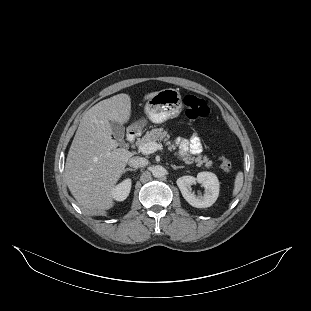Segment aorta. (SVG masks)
<instances>
[{"instance_id": "762f6f07", "label": "aorta", "mask_w": 311, "mask_h": 311, "mask_svg": "<svg viewBox=\"0 0 311 311\" xmlns=\"http://www.w3.org/2000/svg\"><path fill=\"white\" fill-rule=\"evenodd\" d=\"M151 173H152L153 177L160 178V177H163L165 175L166 170L163 166L155 165L152 167Z\"/></svg>"}]
</instances>
